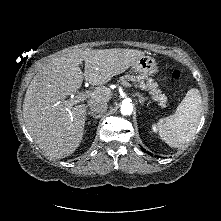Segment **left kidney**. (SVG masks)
<instances>
[{"label": "left kidney", "instance_id": "left-kidney-1", "mask_svg": "<svg viewBox=\"0 0 221 221\" xmlns=\"http://www.w3.org/2000/svg\"><path fill=\"white\" fill-rule=\"evenodd\" d=\"M152 129H153V131H154V132H156V131H157V128H156V126H155V125H153V126H152Z\"/></svg>", "mask_w": 221, "mask_h": 221}]
</instances>
